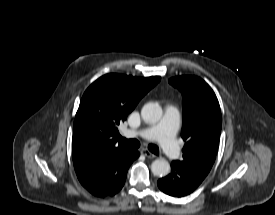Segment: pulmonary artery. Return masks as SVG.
<instances>
[{"instance_id":"1","label":"pulmonary artery","mask_w":275,"mask_h":215,"mask_svg":"<svg viewBox=\"0 0 275 215\" xmlns=\"http://www.w3.org/2000/svg\"><path fill=\"white\" fill-rule=\"evenodd\" d=\"M180 113L177 107L168 105L161 121L139 131L127 129L124 134L127 137L142 138L144 140H157L168 158L175 160L180 156L175 136L179 127Z\"/></svg>"}]
</instances>
